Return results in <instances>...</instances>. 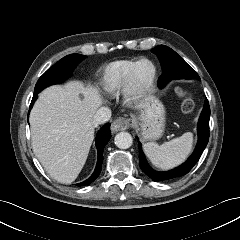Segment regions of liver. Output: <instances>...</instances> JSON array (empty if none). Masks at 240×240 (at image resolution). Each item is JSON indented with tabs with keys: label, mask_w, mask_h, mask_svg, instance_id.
Masks as SVG:
<instances>
[{
	"label": "liver",
	"mask_w": 240,
	"mask_h": 240,
	"mask_svg": "<svg viewBox=\"0 0 240 240\" xmlns=\"http://www.w3.org/2000/svg\"><path fill=\"white\" fill-rule=\"evenodd\" d=\"M103 103L98 89L71 81L39 94L30 113L33 151L56 181L73 182L94 139L93 118Z\"/></svg>",
	"instance_id": "1"
}]
</instances>
